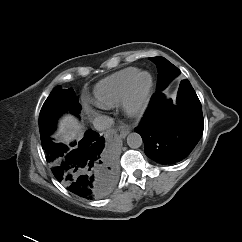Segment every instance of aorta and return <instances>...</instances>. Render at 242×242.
I'll use <instances>...</instances> for the list:
<instances>
[{
    "instance_id": "1",
    "label": "aorta",
    "mask_w": 242,
    "mask_h": 242,
    "mask_svg": "<svg viewBox=\"0 0 242 242\" xmlns=\"http://www.w3.org/2000/svg\"><path fill=\"white\" fill-rule=\"evenodd\" d=\"M142 143V137L138 133L133 132L127 136V145L132 149L139 148L142 145Z\"/></svg>"
}]
</instances>
